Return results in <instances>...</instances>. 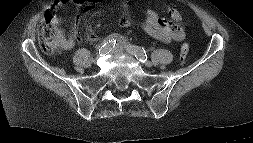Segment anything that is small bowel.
<instances>
[{"mask_svg": "<svg viewBox=\"0 0 253 143\" xmlns=\"http://www.w3.org/2000/svg\"><path fill=\"white\" fill-rule=\"evenodd\" d=\"M98 2L100 0H56L50 8V12L55 14L64 5H74L79 8L88 9ZM123 2L127 5L129 0H123ZM170 18L177 23L181 20L180 14L175 8L170 9ZM52 21L56 25L60 23L59 19L55 16L52 17ZM80 22L81 19L78 18L72 27L69 38L64 41L63 48L66 50L73 48L75 43L80 39ZM133 23L134 21L129 16H124L120 19L122 27H128ZM140 24L146 33L163 42L182 41L185 36L184 30L179 24H173L167 18L160 17L153 9L146 11L145 19ZM88 39L94 41L96 37L89 34Z\"/></svg>", "mask_w": 253, "mask_h": 143, "instance_id": "1", "label": "small bowel"}]
</instances>
